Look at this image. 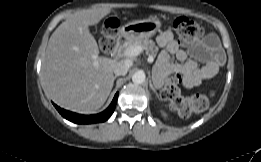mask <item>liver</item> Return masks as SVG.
<instances>
[{
    "label": "liver",
    "mask_w": 261,
    "mask_h": 162,
    "mask_svg": "<svg viewBox=\"0 0 261 162\" xmlns=\"http://www.w3.org/2000/svg\"><path fill=\"white\" fill-rule=\"evenodd\" d=\"M111 7L79 11L51 35L42 62L44 91L59 106L93 113L103 106L114 83L115 61L100 57L89 26L98 24Z\"/></svg>",
    "instance_id": "obj_1"
}]
</instances>
